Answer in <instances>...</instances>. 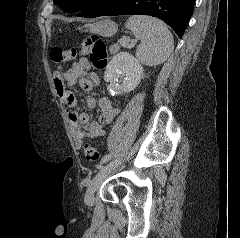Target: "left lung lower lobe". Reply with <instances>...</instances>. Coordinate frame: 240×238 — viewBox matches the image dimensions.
I'll use <instances>...</instances> for the list:
<instances>
[{
    "mask_svg": "<svg viewBox=\"0 0 240 238\" xmlns=\"http://www.w3.org/2000/svg\"><path fill=\"white\" fill-rule=\"evenodd\" d=\"M194 4L195 0H92L76 16L150 15L163 20L181 38Z\"/></svg>",
    "mask_w": 240,
    "mask_h": 238,
    "instance_id": "left-lung-lower-lobe-1",
    "label": "left lung lower lobe"
}]
</instances>
